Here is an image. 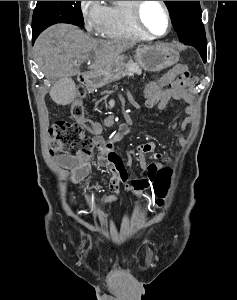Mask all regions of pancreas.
<instances>
[{"label": "pancreas", "instance_id": "obj_1", "mask_svg": "<svg viewBox=\"0 0 237 300\" xmlns=\"http://www.w3.org/2000/svg\"><path fill=\"white\" fill-rule=\"evenodd\" d=\"M130 73H141V69L138 63H134V61H128L127 65H125L124 71H122V75H130ZM110 107H114L115 101H109Z\"/></svg>", "mask_w": 237, "mask_h": 300}]
</instances>
